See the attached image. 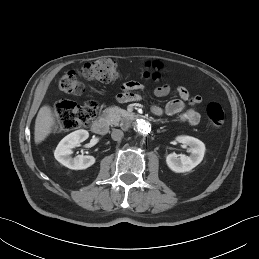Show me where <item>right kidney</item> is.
Segmentation results:
<instances>
[{
  "mask_svg": "<svg viewBox=\"0 0 259 259\" xmlns=\"http://www.w3.org/2000/svg\"><path fill=\"white\" fill-rule=\"evenodd\" d=\"M89 137V133L86 130H77L67 136H65L55 149V159L62 165L73 170H82L92 166L95 163L93 156L77 155L71 157L72 148H75L78 144L85 141Z\"/></svg>",
  "mask_w": 259,
  "mask_h": 259,
  "instance_id": "obj_1",
  "label": "right kidney"
}]
</instances>
